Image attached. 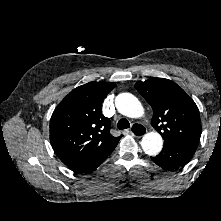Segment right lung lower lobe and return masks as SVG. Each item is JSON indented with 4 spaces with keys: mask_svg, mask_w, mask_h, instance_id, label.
<instances>
[{
    "mask_svg": "<svg viewBox=\"0 0 221 221\" xmlns=\"http://www.w3.org/2000/svg\"><path fill=\"white\" fill-rule=\"evenodd\" d=\"M111 153L105 156H95L79 160L67 166L77 173H89L102 164Z\"/></svg>",
    "mask_w": 221,
    "mask_h": 221,
    "instance_id": "right-lung-lower-lobe-1",
    "label": "right lung lower lobe"
}]
</instances>
